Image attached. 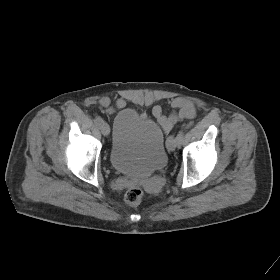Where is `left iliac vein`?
Returning <instances> with one entry per match:
<instances>
[{
    "mask_svg": "<svg viewBox=\"0 0 280 280\" xmlns=\"http://www.w3.org/2000/svg\"><path fill=\"white\" fill-rule=\"evenodd\" d=\"M178 144V139L174 136H170L167 141V149L169 151H174Z\"/></svg>",
    "mask_w": 280,
    "mask_h": 280,
    "instance_id": "4c4485c4",
    "label": "left iliac vein"
}]
</instances>
